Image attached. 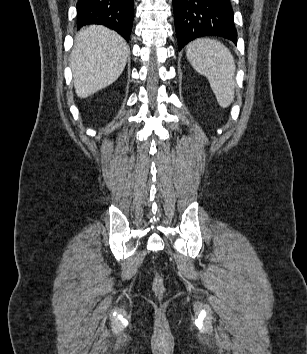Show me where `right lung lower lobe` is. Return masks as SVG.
Listing matches in <instances>:
<instances>
[{"label": "right lung lower lobe", "mask_w": 307, "mask_h": 354, "mask_svg": "<svg viewBox=\"0 0 307 354\" xmlns=\"http://www.w3.org/2000/svg\"><path fill=\"white\" fill-rule=\"evenodd\" d=\"M133 0H78L77 27L101 24L129 41L133 24Z\"/></svg>", "instance_id": "right-lung-lower-lobe-1"}]
</instances>
